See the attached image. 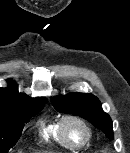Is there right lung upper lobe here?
<instances>
[{"mask_svg":"<svg viewBox=\"0 0 130 153\" xmlns=\"http://www.w3.org/2000/svg\"><path fill=\"white\" fill-rule=\"evenodd\" d=\"M9 86L0 88V111L17 112L32 104L46 102L43 98L31 99L24 93H19L15 83L9 81Z\"/></svg>","mask_w":130,"mask_h":153,"instance_id":"1","label":"right lung upper lobe"}]
</instances>
